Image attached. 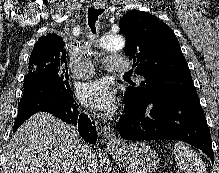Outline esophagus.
<instances>
[{"mask_svg":"<svg viewBox=\"0 0 219 173\" xmlns=\"http://www.w3.org/2000/svg\"><path fill=\"white\" fill-rule=\"evenodd\" d=\"M94 7L97 9H104L105 4L94 3ZM101 133H102L103 141L107 146L111 147L120 144L121 139L116 136L115 132L110 126L103 125L101 127Z\"/></svg>","mask_w":219,"mask_h":173,"instance_id":"1","label":"esophagus"}]
</instances>
